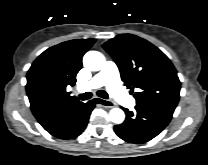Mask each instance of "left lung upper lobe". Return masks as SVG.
I'll use <instances>...</instances> for the list:
<instances>
[{"label": "left lung upper lobe", "instance_id": "obj_1", "mask_svg": "<svg viewBox=\"0 0 208 165\" xmlns=\"http://www.w3.org/2000/svg\"><path fill=\"white\" fill-rule=\"evenodd\" d=\"M116 62L121 78L139 107L175 109L180 97L177 71L168 57L147 40L120 34L103 44Z\"/></svg>", "mask_w": 208, "mask_h": 165}]
</instances>
